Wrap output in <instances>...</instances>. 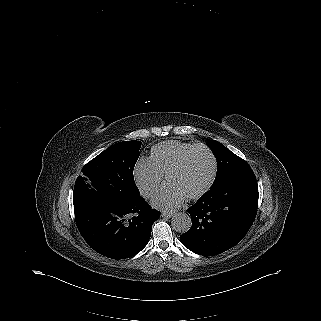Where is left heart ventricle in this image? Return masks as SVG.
I'll return each mask as SVG.
<instances>
[{"label": "left heart ventricle", "mask_w": 321, "mask_h": 321, "mask_svg": "<svg viewBox=\"0 0 321 321\" xmlns=\"http://www.w3.org/2000/svg\"><path fill=\"white\" fill-rule=\"evenodd\" d=\"M212 173V161L205 151H198L186 170L173 180V184L183 192H192L203 186Z\"/></svg>", "instance_id": "obj_1"}]
</instances>
